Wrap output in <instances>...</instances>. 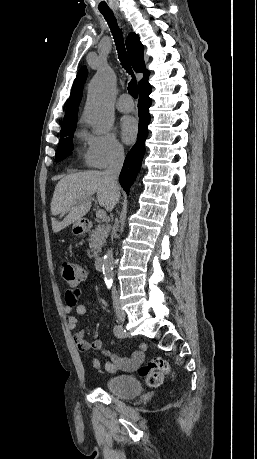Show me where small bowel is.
Wrapping results in <instances>:
<instances>
[{
    "instance_id": "small-bowel-1",
    "label": "small bowel",
    "mask_w": 257,
    "mask_h": 459,
    "mask_svg": "<svg viewBox=\"0 0 257 459\" xmlns=\"http://www.w3.org/2000/svg\"><path fill=\"white\" fill-rule=\"evenodd\" d=\"M81 295V290L77 287L69 288L65 293V312L70 314L75 308L77 315H84L87 311L86 305L78 303ZM68 327L73 331V340L77 349L81 352L88 351L90 348L101 352L106 358L105 371L108 373H115L117 371H134L143 361L146 345L142 344L140 348L132 353L130 357H119L112 354L104 348V344L100 339H95L89 343L84 337V331L80 327L79 319L75 315L68 316ZM91 367L93 369L100 368V361L97 358L92 359Z\"/></svg>"
}]
</instances>
